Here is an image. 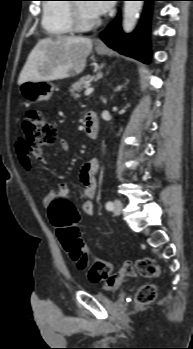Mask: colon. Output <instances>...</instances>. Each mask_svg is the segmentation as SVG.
I'll return each mask as SVG.
<instances>
[{
	"label": "colon",
	"instance_id": "colon-1",
	"mask_svg": "<svg viewBox=\"0 0 193 349\" xmlns=\"http://www.w3.org/2000/svg\"><path fill=\"white\" fill-rule=\"evenodd\" d=\"M23 140L29 154L37 153L44 146L51 145L57 138L55 126L48 121L42 112L29 110L24 117ZM51 224L56 229L59 240L71 260L81 270H86L93 282L107 280L112 274V263L103 259H94L88 253L78 230L79 212L76 205L65 198H57L48 206ZM137 272L146 278L159 276V268L153 259L142 257L136 260ZM157 294L154 284L141 286L135 297L138 306L152 302Z\"/></svg>",
	"mask_w": 193,
	"mask_h": 349
}]
</instances>
